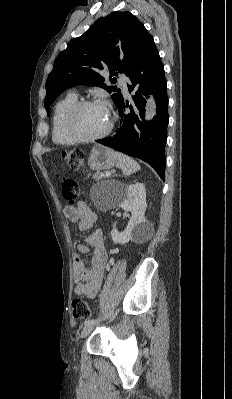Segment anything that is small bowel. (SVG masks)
Segmentation results:
<instances>
[{"mask_svg": "<svg viewBox=\"0 0 232 399\" xmlns=\"http://www.w3.org/2000/svg\"><path fill=\"white\" fill-rule=\"evenodd\" d=\"M66 215L79 216V229L88 230L95 224V216L91 204L86 199H78L75 205L66 206ZM88 245L94 248L90 267H85L82 260L72 256L71 262L73 272V292L75 295L87 294L95 303L97 294L102 285L103 265L107 261V254L104 249V236L100 231L94 232L77 244V250L81 253L88 251Z\"/></svg>", "mask_w": 232, "mask_h": 399, "instance_id": "c3829d8e", "label": "small bowel"}]
</instances>
